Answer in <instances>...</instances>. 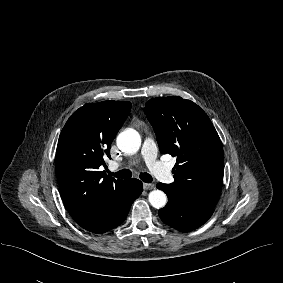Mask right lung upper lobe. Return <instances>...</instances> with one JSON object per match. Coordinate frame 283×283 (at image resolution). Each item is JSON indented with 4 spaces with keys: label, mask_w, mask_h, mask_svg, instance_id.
Here are the masks:
<instances>
[{
    "label": "right lung upper lobe",
    "mask_w": 283,
    "mask_h": 283,
    "mask_svg": "<svg viewBox=\"0 0 283 283\" xmlns=\"http://www.w3.org/2000/svg\"><path fill=\"white\" fill-rule=\"evenodd\" d=\"M131 110L128 101L86 104L74 112L59 136L56 172L63 202L72 218L87 226L101 218L127 190L99 167Z\"/></svg>",
    "instance_id": "right-lung-upper-lobe-1"
}]
</instances>
